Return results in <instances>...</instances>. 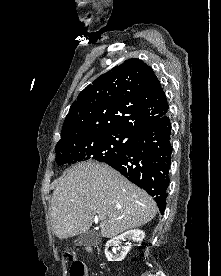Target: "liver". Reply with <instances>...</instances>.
<instances>
[{
  "label": "liver",
  "instance_id": "1",
  "mask_svg": "<svg viewBox=\"0 0 221 276\" xmlns=\"http://www.w3.org/2000/svg\"><path fill=\"white\" fill-rule=\"evenodd\" d=\"M154 199L106 164L86 161L67 170L51 201L53 233L67 239L88 232L101 219V236L112 238L150 222Z\"/></svg>",
  "mask_w": 221,
  "mask_h": 276
}]
</instances>
